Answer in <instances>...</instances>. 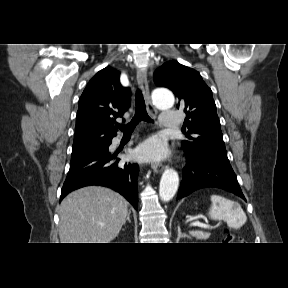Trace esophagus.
Listing matches in <instances>:
<instances>
[{
    "instance_id": "esophagus-1",
    "label": "esophagus",
    "mask_w": 288,
    "mask_h": 288,
    "mask_svg": "<svg viewBox=\"0 0 288 288\" xmlns=\"http://www.w3.org/2000/svg\"><path fill=\"white\" fill-rule=\"evenodd\" d=\"M137 82L138 85L143 93L146 105H147V110L151 115H156L157 114V110L156 108L153 106L152 102H151V97H150V91H149V86H148V80H147V75L146 72L142 69H138L137 70ZM152 170L155 173H160L164 170L165 166L163 164H159V163H154L152 164Z\"/></svg>"
}]
</instances>
